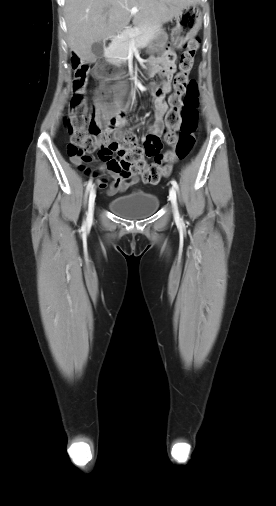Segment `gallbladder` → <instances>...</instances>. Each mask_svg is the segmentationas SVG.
Listing matches in <instances>:
<instances>
[{
    "mask_svg": "<svg viewBox=\"0 0 276 506\" xmlns=\"http://www.w3.org/2000/svg\"><path fill=\"white\" fill-rule=\"evenodd\" d=\"M91 51L94 56L99 59L104 55L103 43L102 41H98L92 44Z\"/></svg>",
    "mask_w": 276,
    "mask_h": 506,
    "instance_id": "obj_1",
    "label": "gallbladder"
}]
</instances>
